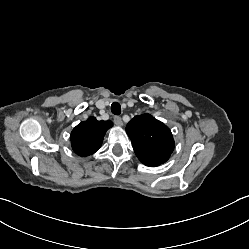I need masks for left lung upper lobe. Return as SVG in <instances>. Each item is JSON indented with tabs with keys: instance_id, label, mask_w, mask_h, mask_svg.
I'll return each mask as SVG.
<instances>
[{
	"instance_id": "left-lung-upper-lobe-1",
	"label": "left lung upper lobe",
	"mask_w": 249,
	"mask_h": 249,
	"mask_svg": "<svg viewBox=\"0 0 249 249\" xmlns=\"http://www.w3.org/2000/svg\"><path fill=\"white\" fill-rule=\"evenodd\" d=\"M138 159L146 166H159L166 162L173 149L170 129L150 114L135 116L126 126Z\"/></svg>"
}]
</instances>
